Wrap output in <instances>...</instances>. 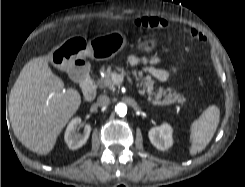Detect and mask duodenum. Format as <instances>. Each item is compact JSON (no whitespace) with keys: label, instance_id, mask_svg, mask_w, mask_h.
I'll use <instances>...</instances> for the list:
<instances>
[{"label":"duodenum","instance_id":"410a0bca","mask_svg":"<svg viewBox=\"0 0 245 187\" xmlns=\"http://www.w3.org/2000/svg\"><path fill=\"white\" fill-rule=\"evenodd\" d=\"M73 71L78 74L83 81L84 96L87 100H93L96 95V89L89 77L88 68L85 63L76 64L73 67Z\"/></svg>","mask_w":245,"mask_h":187}]
</instances>
